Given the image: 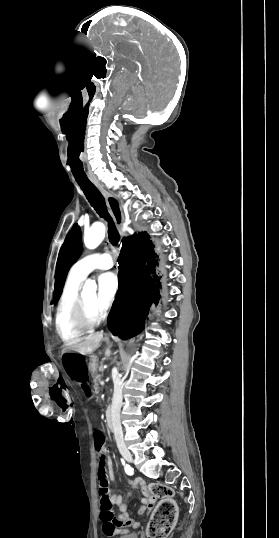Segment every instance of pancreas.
Segmentation results:
<instances>
[{"mask_svg":"<svg viewBox=\"0 0 279 538\" xmlns=\"http://www.w3.org/2000/svg\"><path fill=\"white\" fill-rule=\"evenodd\" d=\"M91 360H92V356H91ZM93 382H94L95 392H99V382H101V376H95V378H93Z\"/></svg>","mask_w":279,"mask_h":538,"instance_id":"obj_1","label":"pancreas"}]
</instances>
